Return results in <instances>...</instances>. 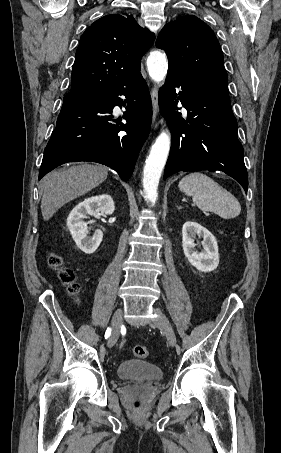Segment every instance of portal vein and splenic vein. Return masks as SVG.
<instances>
[{"label":"portal vein and splenic vein","mask_w":281,"mask_h":453,"mask_svg":"<svg viewBox=\"0 0 281 453\" xmlns=\"http://www.w3.org/2000/svg\"><path fill=\"white\" fill-rule=\"evenodd\" d=\"M201 213H204V215H211V212H206L205 210H201Z\"/></svg>","instance_id":"1"}]
</instances>
